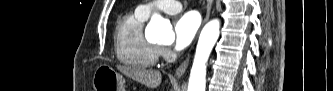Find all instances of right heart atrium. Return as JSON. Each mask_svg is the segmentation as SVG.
<instances>
[{
    "instance_id": "1",
    "label": "right heart atrium",
    "mask_w": 333,
    "mask_h": 91,
    "mask_svg": "<svg viewBox=\"0 0 333 91\" xmlns=\"http://www.w3.org/2000/svg\"><path fill=\"white\" fill-rule=\"evenodd\" d=\"M159 56L167 59L170 56V51L166 47H160Z\"/></svg>"
}]
</instances>
